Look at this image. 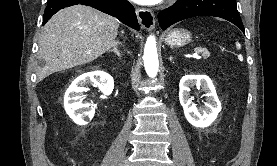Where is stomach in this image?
Listing matches in <instances>:
<instances>
[{"label": "stomach", "mask_w": 277, "mask_h": 166, "mask_svg": "<svg viewBox=\"0 0 277 166\" xmlns=\"http://www.w3.org/2000/svg\"><path fill=\"white\" fill-rule=\"evenodd\" d=\"M191 33L185 29H174L164 38L166 45L170 47H182L190 43Z\"/></svg>", "instance_id": "obj_1"}]
</instances>
